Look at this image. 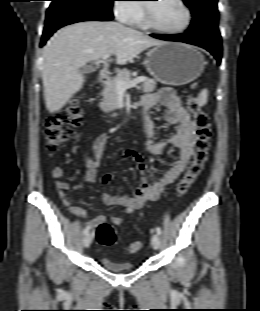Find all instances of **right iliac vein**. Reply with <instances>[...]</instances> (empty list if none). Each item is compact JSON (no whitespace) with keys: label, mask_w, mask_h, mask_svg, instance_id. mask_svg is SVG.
<instances>
[{"label":"right iliac vein","mask_w":260,"mask_h":311,"mask_svg":"<svg viewBox=\"0 0 260 311\" xmlns=\"http://www.w3.org/2000/svg\"><path fill=\"white\" fill-rule=\"evenodd\" d=\"M92 242V235L87 233L83 239V244L85 248H88Z\"/></svg>","instance_id":"right-iliac-vein-1"}]
</instances>
